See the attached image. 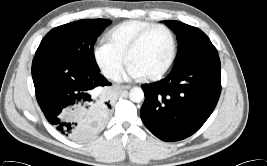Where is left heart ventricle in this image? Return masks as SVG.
Wrapping results in <instances>:
<instances>
[{
	"label": "left heart ventricle",
	"instance_id": "left-heart-ventricle-1",
	"mask_svg": "<svg viewBox=\"0 0 267 166\" xmlns=\"http://www.w3.org/2000/svg\"><path fill=\"white\" fill-rule=\"evenodd\" d=\"M150 44L151 48H153V50L158 53V58L154 61L152 67L159 68L166 62L169 57L171 48L170 39L165 33H158L153 37ZM139 58L141 60V58L143 57H141L140 55Z\"/></svg>",
	"mask_w": 267,
	"mask_h": 166
}]
</instances>
